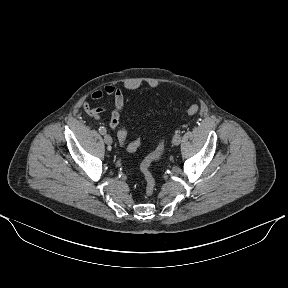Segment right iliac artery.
Returning a JSON list of instances; mask_svg holds the SVG:
<instances>
[{
    "instance_id": "right-iliac-artery-1",
    "label": "right iliac artery",
    "mask_w": 288,
    "mask_h": 288,
    "mask_svg": "<svg viewBox=\"0 0 288 288\" xmlns=\"http://www.w3.org/2000/svg\"><path fill=\"white\" fill-rule=\"evenodd\" d=\"M106 128L105 127H103V126H101L100 128H99V133L100 134H102V135H104V134H106Z\"/></svg>"
}]
</instances>
